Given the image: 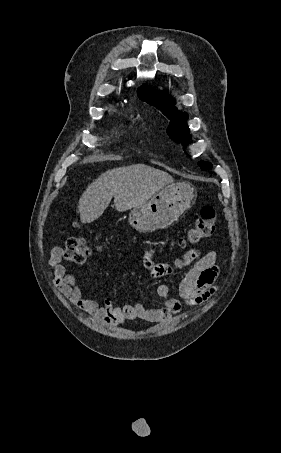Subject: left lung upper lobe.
<instances>
[{"label": "left lung upper lobe", "instance_id": "obj_1", "mask_svg": "<svg viewBox=\"0 0 281 453\" xmlns=\"http://www.w3.org/2000/svg\"><path fill=\"white\" fill-rule=\"evenodd\" d=\"M137 94L142 101L157 107L165 116L171 119V123L168 126L169 135L175 141L186 145V141L191 139L190 135H188L189 128L186 125L188 116L187 113L176 112L174 99L168 97L167 93L156 95L150 92L146 86L139 88ZM198 165L202 170H209L212 168V164L205 161H200Z\"/></svg>", "mask_w": 281, "mask_h": 453}]
</instances>
